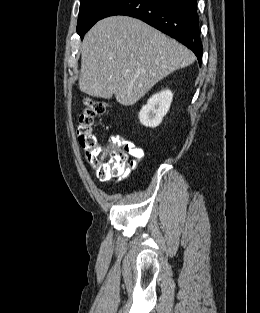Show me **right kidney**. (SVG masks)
Instances as JSON below:
<instances>
[{
	"mask_svg": "<svg viewBox=\"0 0 260 313\" xmlns=\"http://www.w3.org/2000/svg\"><path fill=\"white\" fill-rule=\"evenodd\" d=\"M172 99L173 93L168 89L154 94L139 112L141 124L150 128L157 127L169 111Z\"/></svg>",
	"mask_w": 260,
	"mask_h": 313,
	"instance_id": "right-kidney-1",
	"label": "right kidney"
}]
</instances>
